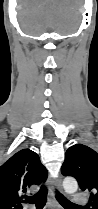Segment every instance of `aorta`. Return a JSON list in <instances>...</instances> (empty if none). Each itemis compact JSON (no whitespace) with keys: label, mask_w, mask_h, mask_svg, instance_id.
Listing matches in <instances>:
<instances>
[{"label":"aorta","mask_w":98,"mask_h":209,"mask_svg":"<svg viewBox=\"0 0 98 209\" xmlns=\"http://www.w3.org/2000/svg\"><path fill=\"white\" fill-rule=\"evenodd\" d=\"M63 188L66 193L73 194L78 189V183L74 178L67 177L63 180Z\"/></svg>","instance_id":"obj_1"}]
</instances>
